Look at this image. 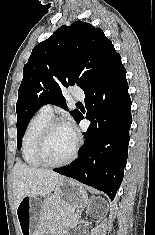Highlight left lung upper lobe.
<instances>
[{
	"mask_svg": "<svg viewBox=\"0 0 155 235\" xmlns=\"http://www.w3.org/2000/svg\"><path fill=\"white\" fill-rule=\"evenodd\" d=\"M120 55L103 31L76 21L61 26L36 45L24 65L18 91L17 148L33 115L45 104L67 109L62 88L77 84L84 91L93 87ZM77 121L80 112L70 111Z\"/></svg>",
	"mask_w": 155,
	"mask_h": 235,
	"instance_id": "5c2ea615",
	"label": "left lung upper lobe"
}]
</instances>
